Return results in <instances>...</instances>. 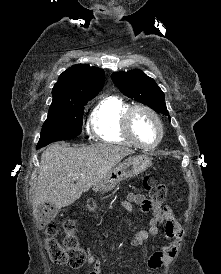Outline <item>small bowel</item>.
<instances>
[{"label": "small bowel", "instance_id": "obj_1", "mask_svg": "<svg viewBox=\"0 0 221 274\" xmlns=\"http://www.w3.org/2000/svg\"><path fill=\"white\" fill-rule=\"evenodd\" d=\"M132 203L138 204L144 213L150 212L151 218L148 227L138 230L131 239L133 246H140L150 237H155L159 233L158 225L165 224V237L168 243L161 250L154 252L148 259V267L156 270L165 264L171 262L177 253L181 237V226L176 220L172 210L169 207H162L159 203L147 199L140 193H130L127 199L122 201V206L129 212H132ZM89 254V263L93 264V269L89 274H101L100 264L95 260L92 253ZM134 274V273H130Z\"/></svg>", "mask_w": 221, "mask_h": 274}]
</instances>
